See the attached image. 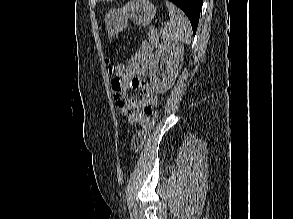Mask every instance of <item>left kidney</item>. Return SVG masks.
Returning a JSON list of instances; mask_svg holds the SVG:
<instances>
[{"instance_id":"left-kidney-1","label":"left kidney","mask_w":293,"mask_h":219,"mask_svg":"<svg viewBox=\"0 0 293 219\" xmlns=\"http://www.w3.org/2000/svg\"><path fill=\"white\" fill-rule=\"evenodd\" d=\"M183 54L184 47L178 43L164 41L160 44L149 65L150 85L156 93H165L172 87L181 68ZM162 58L166 62V71L160 78L157 72Z\"/></svg>"}]
</instances>
